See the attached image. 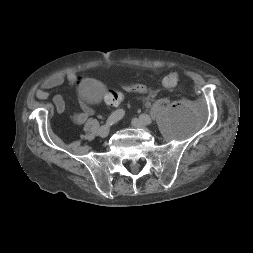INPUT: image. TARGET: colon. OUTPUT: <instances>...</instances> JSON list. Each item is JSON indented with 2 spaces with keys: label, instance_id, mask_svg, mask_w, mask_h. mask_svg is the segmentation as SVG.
<instances>
[{
  "label": "colon",
  "instance_id": "1",
  "mask_svg": "<svg viewBox=\"0 0 253 253\" xmlns=\"http://www.w3.org/2000/svg\"><path fill=\"white\" fill-rule=\"evenodd\" d=\"M163 83L166 87H177L180 85L181 80L176 73H170L164 78ZM120 86L122 89L126 91L137 92V93L147 92L146 86L141 85V84L121 83ZM104 99L108 105L116 106L122 102L123 95L119 92L107 91L104 96Z\"/></svg>",
  "mask_w": 253,
  "mask_h": 253
}]
</instances>
